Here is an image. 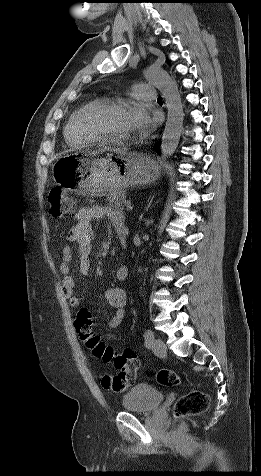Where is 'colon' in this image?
Instances as JSON below:
<instances>
[{"mask_svg": "<svg viewBox=\"0 0 261 476\" xmlns=\"http://www.w3.org/2000/svg\"><path fill=\"white\" fill-rule=\"evenodd\" d=\"M50 214L61 218L74 210L72 199L65 190L56 186L48 195ZM92 314L87 309H81L75 319L76 331L85 346L97 357L105 362H112L118 373L116 375H103L101 384L103 388L121 393L127 390L135 381L139 369V359L131 349L122 352L115 351L107 345L92 328ZM158 382L167 387L176 386L180 383L179 375L169 369H162L157 374ZM209 396L199 390H193L181 396L175 404L174 414L176 417L197 415L205 411L209 406Z\"/></svg>", "mask_w": 261, "mask_h": 476, "instance_id": "1", "label": "colon"}]
</instances>
